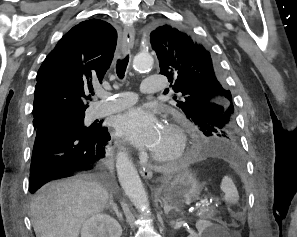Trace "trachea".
Listing matches in <instances>:
<instances>
[{
  "label": "trachea",
  "mask_w": 297,
  "mask_h": 237,
  "mask_svg": "<svg viewBox=\"0 0 297 237\" xmlns=\"http://www.w3.org/2000/svg\"><path fill=\"white\" fill-rule=\"evenodd\" d=\"M129 62V55L123 59H118L116 65V73L120 79H123L125 76V71Z\"/></svg>",
  "instance_id": "trachea-1"
}]
</instances>
